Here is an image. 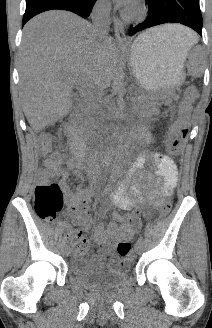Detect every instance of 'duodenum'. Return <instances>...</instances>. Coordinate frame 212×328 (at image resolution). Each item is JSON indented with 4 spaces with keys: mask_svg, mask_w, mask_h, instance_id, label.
I'll list each match as a JSON object with an SVG mask.
<instances>
[{
    "mask_svg": "<svg viewBox=\"0 0 212 328\" xmlns=\"http://www.w3.org/2000/svg\"><path fill=\"white\" fill-rule=\"evenodd\" d=\"M65 132L71 140L72 151L75 155L76 160L82 165V161L85 153V143L83 138L78 134L75 128L73 119H70L65 123ZM142 133L139 134L142 137Z\"/></svg>",
    "mask_w": 212,
    "mask_h": 328,
    "instance_id": "obj_1",
    "label": "duodenum"
}]
</instances>
